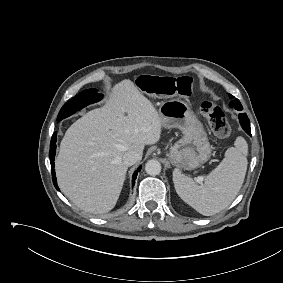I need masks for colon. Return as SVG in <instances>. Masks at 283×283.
Segmentation results:
<instances>
[{"mask_svg":"<svg viewBox=\"0 0 283 283\" xmlns=\"http://www.w3.org/2000/svg\"><path fill=\"white\" fill-rule=\"evenodd\" d=\"M138 88L144 93L155 97L190 96L194 90V81L189 77L171 78L161 76H140ZM202 113L208 118L212 131L219 137L230 134L231 128L224 110L212 101L201 105Z\"/></svg>","mask_w":283,"mask_h":283,"instance_id":"5ec220e1","label":"colon"}]
</instances>
